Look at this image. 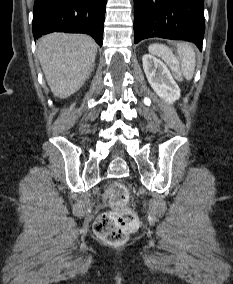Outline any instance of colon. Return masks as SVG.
Instances as JSON below:
<instances>
[{"label": "colon", "instance_id": "obj_1", "mask_svg": "<svg viewBox=\"0 0 233 284\" xmlns=\"http://www.w3.org/2000/svg\"><path fill=\"white\" fill-rule=\"evenodd\" d=\"M150 53L167 64L176 80H183L178 59L167 46L153 44L150 46ZM108 197L112 210L96 218L94 230L100 238L108 242L122 243L136 224L135 213L127 207L129 191L122 182H114L109 186Z\"/></svg>", "mask_w": 233, "mask_h": 284}]
</instances>
